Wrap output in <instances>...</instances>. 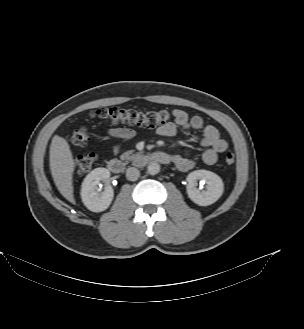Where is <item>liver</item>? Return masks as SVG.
<instances>
[{
    "mask_svg": "<svg viewBox=\"0 0 304 329\" xmlns=\"http://www.w3.org/2000/svg\"><path fill=\"white\" fill-rule=\"evenodd\" d=\"M49 163L51 175L57 189L64 198L75 204L72 180L75 163L70 146L63 137L55 135L52 138Z\"/></svg>",
    "mask_w": 304,
    "mask_h": 329,
    "instance_id": "1",
    "label": "liver"
}]
</instances>
